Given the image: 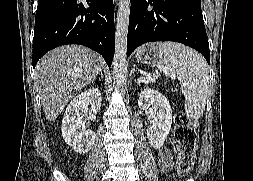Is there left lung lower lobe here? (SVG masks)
Instances as JSON below:
<instances>
[{"instance_id":"0a47b994","label":"left lung lower lobe","mask_w":253,"mask_h":181,"mask_svg":"<svg viewBox=\"0 0 253 181\" xmlns=\"http://www.w3.org/2000/svg\"><path fill=\"white\" fill-rule=\"evenodd\" d=\"M152 41L183 43L210 63L201 0H131L127 57L138 46Z\"/></svg>"}]
</instances>
